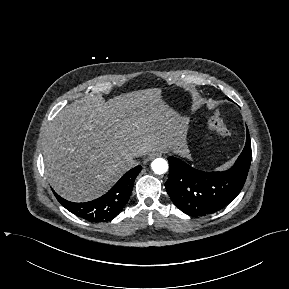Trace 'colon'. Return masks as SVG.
Masks as SVG:
<instances>
[{
  "label": "colon",
  "instance_id": "1",
  "mask_svg": "<svg viewBox=\"0 0 289 289\" xmlns=\"http://www.w3.org/2000/svg\"><path fill=\"white\" fill-rule=\"evenodd\" d=\"M209 126L216 134L220 136H228L230 134L229 129L218 113H214L209 117Z\"/></svg>",
  "mask_w": 289,
  "mask_h": 289
}]
</instances>
